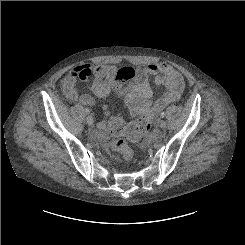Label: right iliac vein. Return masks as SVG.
Here are the masks:
<instances>
[{
	"label": "right iliac vein",
	"mask_w": 245,
	"mask_h": 245,
	"mask_svg": "<svg viewBox=\"0 0 245 245\" xmlns=\"http://www.w3.org/2000/svg\"><path fill=\"white\" fill-rule=\"evenodd\" d=\"M86 122H87L88 125L91 126L93 124V122H94L93 117L92 116H87Z\"/></svg>",
	"instance_id": "63e3f726"
}]
</instances>
